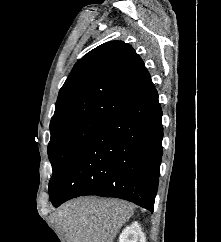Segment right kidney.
<instances>
[{"mask_svg": "<svg viewBox=\"0 0 221 242\" xmlns=\"http://www.w3.org/2000/svg\"><path fill=\"white\" fill-rule=\"evenodd\" d=\"M142 235L140 225L135 222L123 229L119 236V242H138Z\"/></svg>", "mask_w": 221, "mask_h": 242, "instance_id": "ca27d5eb", "label": "right kidney"}]
</instances>
